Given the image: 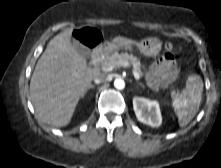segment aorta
<instances>
[{"mask_svg": "<svg viewBox=\"0 0 221 168\" xmlns=\"http://www.w3.org/2000/svg\"><path fill=\"white\" fill-rule=\"evenodd\" d=\"M114 86L116 89L122 90L125 87V82L122 79H116L114 81Z\"/></svg>", "mask_w": 221, "mask_h": 168, "instance_id": "762f6f07", "label": "aorta"}]
</instances>
